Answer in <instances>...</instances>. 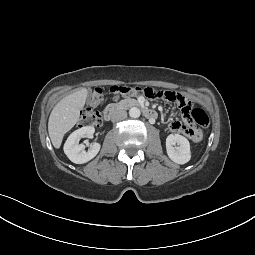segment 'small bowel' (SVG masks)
I'll use <instances>...</instances> for the list:
<instances>
[{"mask_svg": "<svg viewBox=\"0 0 255 255\" xmlns=\"http://www.w3.org/2000/svg\"><path fill=\"white\" fill-rule=\"evenodd\" d=\"M175 93V92H173ZM179 103V102H177ZM182 109V107H181ZM188 124L187 120H184L183 122L178 121V120H173L170 121L168 124V127L170 128V130L174 131V132H184V128L186 127V125Z\"/></svg>", "mask_w": 255, "mask_h": 255, "instance_id": "obj_1", "label": "small bowel"}]
</instances>
